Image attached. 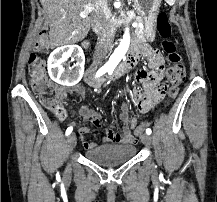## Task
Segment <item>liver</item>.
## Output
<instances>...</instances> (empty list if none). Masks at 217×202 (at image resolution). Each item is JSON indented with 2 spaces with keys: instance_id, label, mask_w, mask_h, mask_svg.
I'll use <instances>...</instances> for the list:
<instances>
[{
  "instance_id": "6515ba94",
  "label": "liver",
  "mask_w": 217,
  "mask_h": 202,
  "mask_svg": "<svg viewBox=\"0 0 217 202\" xmlns=\"http://www.w3.org/2000/svg\"><path fill=\"white\" fill-rule=\"evenodd\" d=\"M50 22L51 48L77 44L90 30L91 4L94 0H40Z\"/></svg>"
}]
</instances>
